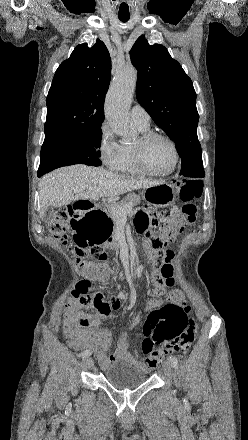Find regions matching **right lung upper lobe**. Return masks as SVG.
Listing matches in <instances>:
<instances>
[{
	"label": "right lung upper lobe",
	"instance_id": "right-lung-upper-lobe-1",
	"mask_svg": "<svg viewBox=\"0 0 248 440\" xmlns=\"http://www.w3.org/2000/svg\"><path fill=\"white\" fill-rule=\"evenodd\" d=\"M111 59L105 44L78 45L55 72L46 104L45 139L101 127Z\"/></svg>",
	"mask_w": 248,
	"mask_h": 440
}]
</instances>
